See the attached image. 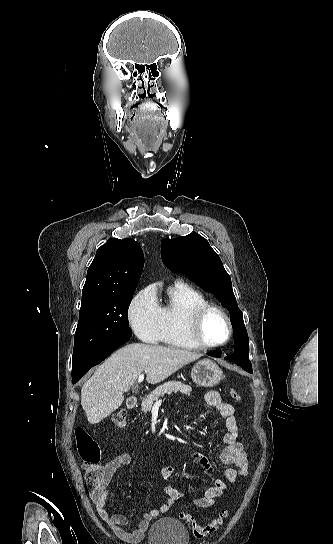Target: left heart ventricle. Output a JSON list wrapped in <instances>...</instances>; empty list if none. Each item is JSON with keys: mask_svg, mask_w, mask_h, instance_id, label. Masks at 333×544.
<instances>
[{"mask_svg": "<svg viewBox=\"0 0 333 544\" xmlns=\"http://www.w3.org/2000/svg\"><path fill=\"white\" fill-rule=\"evenodd\" d=\"M203 336L209 343H219L228 336V327L224 317L217 311H211L203 324Z\"/></svg>", "mask_w": 333, "mask_h": 544, "instance_id": "b2bd125f", "label": "left heart ventricle"}]
</instances>
